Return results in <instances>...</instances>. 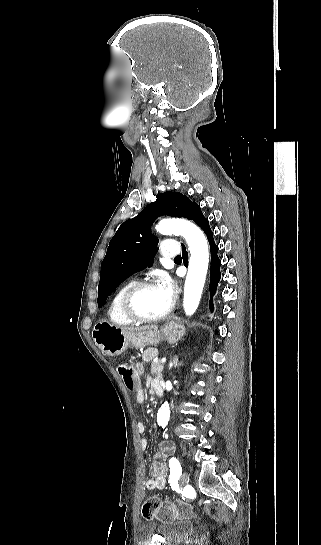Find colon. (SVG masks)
<instances>
[{"instance_id": "5ec220e1", "label": "colon", "mask_w": 321, "mask_h": 545, "mask_svg": "<svg viewBox=\"0 0 321 545\" xmlns=\"http://www.w3.org/2000/svg\"><path fill=\"white\" fill-rule=\"evenodd\" d=\"M118 372L123 378L126 387L134 390L137 386L133 365L128 361L118 364ZM190 508L185 503L162 502L157 497H150L142 507V515L146 519L156 518L161 521H172L178 518H186L190 515Z\"/></svg>"}]
</instances>
